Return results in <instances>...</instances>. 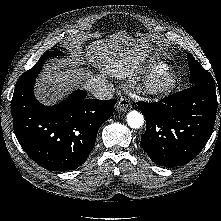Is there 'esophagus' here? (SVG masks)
<instances>
[{
  "instance_id": "obj_1",
  "label": "esophagus",
  "mask_w": 221,
  "mask_h": 221,
  "mask_svg": "<svg viewBox=\"0 0 221 221\" xmlns=\"http://www.w3.org/2000/svg\"><path fill=\"white\" fill-rule=\"evenodd\" d=\"M131 107V102L129 99L127 98H124V97H121L118 102H117V105H116V109L118 111H127L129 110Z\"/></svg>"
}]
</instances>
